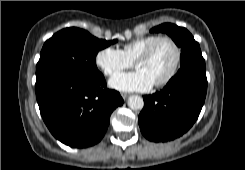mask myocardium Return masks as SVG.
<instances>
[{"mask_svg": "<svg viewBox=\"0 0 245 170\" xmlns=\"http://www.w3.org/2000/svg\"><path fill=\"white\" fill-rule=\"evenodd\" d=\"M161 41H168L172 45L175 52V60L169 73L160 81L153 83V85L156 87H160L168 84L178 72L182 55H181V49L177 44V42L170 36L167 35L159 36L156 39H154L144 50H142L134 60V65L136 66L139 61L147 59L152 54L155 46Z\"/></svg>", "mask_w": 245, "mask_h": 170, "instance_id": "1", "label": "myocardium"}]
</instances>
